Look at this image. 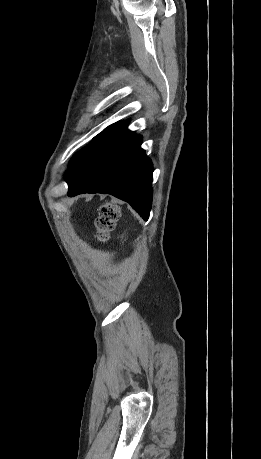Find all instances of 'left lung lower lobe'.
Instances as JSON below:
<instances>
[{
    "label": "left lung lower lobe",
    "instance_id": "0a47b994",
    "mask_svg": "<svg viewBox=\"0 0 261 459\" xmlns=\"http://www.w3.org/2000/svg\"><path fill=\"white\" fill-rule=\"evenodd\" d=\"M126 122L68 179V196L83 193L111 194L128 202L148 220L152 204L151 160L141 149V136Z\"/></svg>",
    "mask_w": 261,
    "mask_h": 459
}]
</instances>
